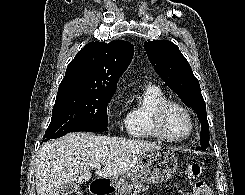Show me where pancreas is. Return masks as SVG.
I'll use <instances>...</instances> for the list:
<instances>
[{"label": "pancreas", "instance_id": "pancreas-1", "mask_svg": "<svg viewBox=\"0 0 245 195\" xmlns=\"http://www.w3.org/2000/svg\"><path fill=\"white\" fill-rule=\"evenodd\" d=\"M148 190V186H145L141 182H133L131 184H123L115 195H138L140 191L145 192Z\"/></svg>", "mask_w": 245, "mask_h": 195}]
</instances>
